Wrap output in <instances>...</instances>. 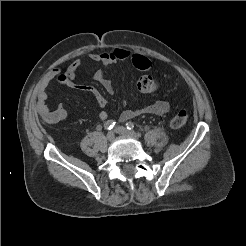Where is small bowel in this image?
Segmentation results:
<instances>
[{
  "label": "small bowel",
  "mask_w": 246,
  "mask_h": 246,
  "mask_svg": "<svg viewBox=\"0 0 246 246\" xmlns=\"http://www.w3.org/2000/svg\"><path fill=\"white\" fill-rule=\"evenodd\" d=\"M87 57L94 62L101 63L104 66H109L118 61L127 60L131 57V53L127 49L117 48L110 52L89 53L87 54ZM81 63V60H75L64 69L55 68L50 71L39 83L36 95V111L45 123L55 124L64 120L67 116V111L63 106H57L54 109H51L46 103L48 97L47 89L53 82L91 93L101 109L99 112L100 119L107 120L108 113L105 109L107 106V100L104 95L94 86L80 85L75 82L76 74L81 66ZM93 77L109 94H114L112 82L103 70H97ZM169 110L170 105L168 102L156 101L140 109H126L121 113L120 119L122 121H127L139 115H164L168 113Z\"/></svg>",
  "instance_id": "1"
}]
</instances>
